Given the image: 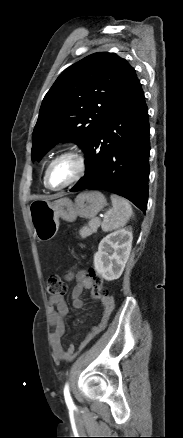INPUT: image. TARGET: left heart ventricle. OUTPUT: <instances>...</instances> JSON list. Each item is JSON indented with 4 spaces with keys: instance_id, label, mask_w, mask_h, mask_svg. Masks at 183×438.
<instances>
[{
    "instance_id": "1",
    "label": "left heart ventricle",
    "mask_w": 183,
    "mask_h": 438,
    "mask_svg": "<svg viewBox=\"0 0 183 438\" xmlns=\"http://www.w3.org/2000/svg\"><path fill=\"white\" fill-rule=\"evenodd\" d=\"M76 163L72 158L57 161L49 172L48 182L53 187L61 186L73 178L76 173Z\"/></svg>"
}]
</instances>
